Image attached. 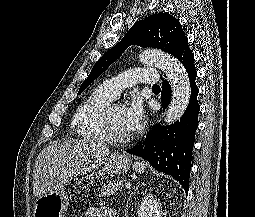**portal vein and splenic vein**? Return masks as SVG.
Returning <instances> with one entry per match:
<instances>
[{
    "label": "portal vein and splenic vein",
    "mask_w": 255,
    "mask_h": 217,
    "mask_svg": "<svg viewBox=\"0 0 255 217\" xmlns=\"http://www.w3.org/2000/svg\"><path fill=\"white\" fill-rule=\"evenodd\" d=\"M125 186H126V188H130V185H129V184H126Z\"/></svg>",
    "instance_id": "18ae733b"
}]
</instances>
